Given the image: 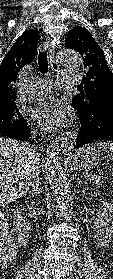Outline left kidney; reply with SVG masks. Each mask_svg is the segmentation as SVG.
Listing matches in <instances>:
<instances>
[{"label": "left kidney", "mask_w": 113, "mask_h": 279, "mask_svg": "<svg viewBox=\"0 0 113 279\" xmlns=\"http://www.w3.org/2000/svg\"><path fill=\"white\" fill-rule=\"evenodd\" d=\"M103 210L98 212L94 222V238L98 247H106L113 236V207L108 202H103Z\"/></svg>", "instance_id": "1"}]
</instances>
